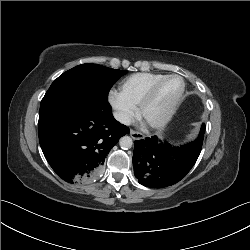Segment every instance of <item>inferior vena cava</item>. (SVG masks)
<instances>
[{"mask_svg": "<svg viewBox=\"0 0 250 250\" xmlns=\"http://www.w3.org/2000/svg\"><path fill=\"white\" fill-rule=\"evenodd\" d=\"M113 116L117 121H119L122 124L130 125V123H131V118L129 117V115H127L123 112L116 111L113 113Z\"/></svg>", "mask_w": 250, "mask_h": 250, "instance_id": "inferior-vena-cava-1", "label": "inferior vena cava"}]
</instances>
